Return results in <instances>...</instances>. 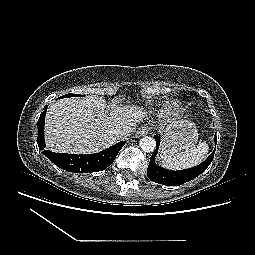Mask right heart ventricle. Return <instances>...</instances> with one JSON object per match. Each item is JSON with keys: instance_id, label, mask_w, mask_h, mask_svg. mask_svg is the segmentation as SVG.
<instances>
[{"instance_id": "1", "label": "right heart ventricle", "mask_w": 255, "mask_h": 255, "mask_svg": "<svg viewBox=\"0 0 255 255\" xmlns=\"http://www.w3.org/2000/svg\"><path fill=\"white\" fill-rule=\"evenodd\" d=\"M173 106H174L173 104H169V105H168V107H167V108H168V110L172 109V108H173Z\"/></svg>"}]
</instances>
